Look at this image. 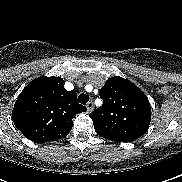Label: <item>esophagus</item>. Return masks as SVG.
<instances>
[{"label":"esophagus","instance_id":"1","mask_svg":"<svg viewBox=\"0 0 182 182\" xmlns=\"http://www.w3.org/2000/svg\"><path fill=\"white\" fill-rule=\"evenodd\" d=\"M86 108H87V113H91L93 108H94V104L93 102H89L87 105H86Z\"/></svg>","mask_w":182,"mask_h":182}]
</instances>
